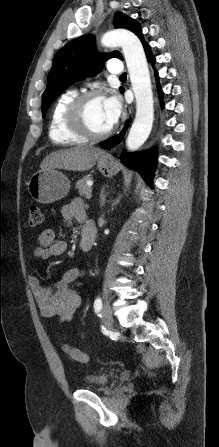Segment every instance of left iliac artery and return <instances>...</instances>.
<instances>
[{"mask_svg":"<svg viewBox=\"0 0 219 447\" xmlns=\"http://www.w3.org/2000/svg\"><path fill=\"white\" fill-rule=\"evenodd\" d=\"M101 309H102V300L101 298H96L94 302V310L96 313H99Z\"/></svg>","mask_w":219,"mask_h":447,"instance_id":"44dca946","label":"left iliac artery"}]
</instances>
